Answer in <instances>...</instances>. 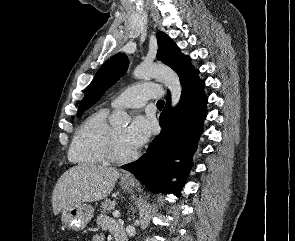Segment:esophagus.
Instances as JSON below:
<instances>
[{
	"mask_svg": "<svg viewBox=\"0 0 295 241\" xmlns=\"http://www.w3.org/2000/svg\"><path fill=\"white\" fill-rule=\"evenodd\" d=\"M124 179H133V176L131 174H125L123 176Z\"/></svg>",
	"mask_w": 295,
	"mask_h": 241,
	"instance_id": "obj_1",
	"label": "esophagus"
}]
</instances>
